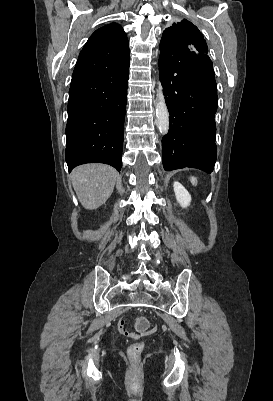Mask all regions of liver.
Wrapping results in <instances>:
<instances>
[{"mask_svg":"<svg viewBox=\"0 0 273 401\" xmlns=\"http://www.w3.org/2000/svg\"><path fill=\"white\" fill-rule=\"evenodd\" d=\"M72 184L85 209H98L113 192L121 176L108 164H82L71 172Z\"/></svg>","mask_w":273,"mask_h":401,"instance_id":"1","label":"liver"}]
</instances>
